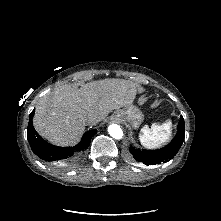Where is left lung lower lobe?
<instances>
[{"mask_svg": "<svg viewBox=\"0 0 221 221\" xmlns=\"http://www.w3.org/2000/svg\"><path fill=\"white\" fill-rule=\"evenodd\" d=\"M184 136V119L181 116L180 122L178 124V132L167 146L158 150H139L130 147V152L133 154L135 160L145 165L165 163L171 160L177 154L184 141Z\"/></svg>", "mask_w": 221, "mask_h": 221, "instance_id": "1", "label": "left lung lower lobe"}]
</instances>
